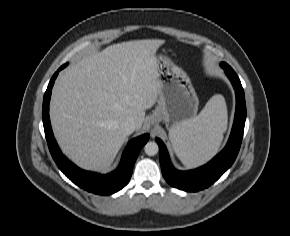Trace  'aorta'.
<instances>
[{"label": "aorta", "mask_w": 290, "mask_h": 236, "mask_svg": "<svg viewBox=\"0 0 290 236\" xmlns=\"http://www.w3.org/2000/svg\"><path fill=\"white\" fill-rule=\"evenodd\" d=\"M144 151L148 156H154L158 153L159 147L156 142H147L144 146Z\"/></svg>", "instance_id": "obj_1"}]
</instances>
